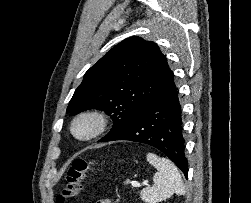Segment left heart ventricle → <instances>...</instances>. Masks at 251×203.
<instances>
[{"mask_svg": "<svg viewBox=\"0 0 251 203\" xmlns=\"http://www.w3.org/2000/svg\"><path fill=\"white\" fill-rule=\"evenodd\" d=\"M92 127V124L89 121H83L79 123L76 127L78 134H85L87 133Z\"/></svg>", "mask_w": 251, "mask_h": 203, "instance_id": "left-heart-ventricle-1", "label": "left heart ventricle"}]
</instances>
